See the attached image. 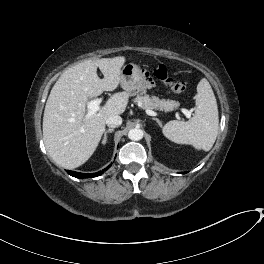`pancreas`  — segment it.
Returning <instances> with one entry per match:
<instances>
[{
    "mask_svg": "<svg viewBox=\"0 0 264 264\" xmlns=\"http://www.w3.org/2000/svg\"><path fill=\"white\" fill-rule=\"evenodd\" d=\"M134 102L140 104L143 109L161 111H171L179 106V102L175 100L159 99L156 96H149L145 92L138 94Z\"/></svg>",
    "mask_w": 264,
    "mask_h": 264,
    "instance_id": "1",
    "label": "pancreas"
}]
</instances>
